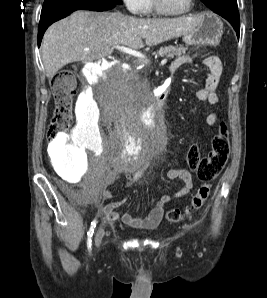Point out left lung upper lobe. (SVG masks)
Listing matches in <instances>:
<instances>
[{
  "instance_id": "obj_1",
  "label": "left lung upper lobe",
  "mask_w": 267,
  "mask_h": 298,
  "mask_svg": "<svg viewBox=\"0 0 267 298\" xmlns=\"http://www.w3.org/2000/svg\"><path fill=\"white\" fill-rule=\"evenodd\" d=\"M207 7L215 13H226L231 9H236L237 0H201Z\"/></svg>"
}]
</instances>
